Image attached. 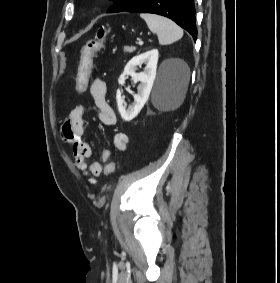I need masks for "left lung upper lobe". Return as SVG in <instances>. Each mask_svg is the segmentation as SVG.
<instances>
[{
    "label": "left lung upper lobe",
    "mask_w": 280,
    "mask_h": 283,
    "mask_svg": "<svg viewBox=\"0 0 280 283\" xmlns=\"http://www.w3.org/2000/svg\"><path fill=\"white\" fill-rule=\"evenodd\" d=\"M114 5L107 10V13H116L123 12L133 4H135L138 0H111Z\"/></svg>",
    "instance_id": "left-lung-upper-lobe-1"
}]
</instances>
